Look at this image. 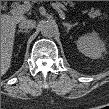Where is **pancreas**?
<instances>
[{
  "instance_id": "pancreas-1",
  "label": "pancreas",
  "mask_w": 109,
  "mask_h": 109,
  "mask_svg": "<svg viewBox=\"0 0 109 109\" xmlns=\"http://www.w3.org/2000/svg\"><path fill=\"white\" fill-rule=\"evenodd\" d=\"M33 2H37V1H33ZM57 2L58 4L62 5V6H66V5H70L71 7H73L75 5V2H72V1H55ZM88 12V15L91 17V18H96L97 16H101V12L100 10L98 9H94L92 8L91 10H84L83 13H87ZM102 19V17H100Z\"/></svg>"
}]
</instances>
